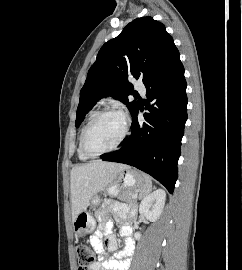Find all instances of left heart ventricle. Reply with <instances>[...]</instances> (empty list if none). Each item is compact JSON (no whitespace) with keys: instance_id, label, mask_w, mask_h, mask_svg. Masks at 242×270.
Here are the masks:
<instances>
[{"instance_id":"b2bd125f","label":"left heart ventricle","mask_w":242,"mask_h":270,"mask_svg":"<svg viewBox=\"0 0 242 270\" xmlns=\"http://www.w3.org/2000/svg\"><path fill=\"white\" fill-rule=\"evenodd\" d=\"M124 130V119L118 114L101 117L90 130L87 147L98 152L112 147L118 142Z\"/></svg>"}]
</instances>
